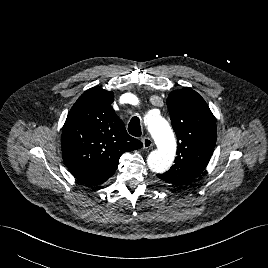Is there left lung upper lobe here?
Returning <instances> with one entry per match:
<instances>
[{"instance_id": "left-lung-upper-lobe-1", "label": "left lung upper lobe", "mask_w": 268, "mask_h": 268, "mask_svg": "<svg viewBox=\"0 0 268 268\" xmlns=\"http://www.w3.org/2000/svg\"><path fill=\"white\" fill-rule=\"evenodd\" d=\"M166 103L177 136V157L168 171L157 176L183 185L207 166L216 143V122L204 99L189 87L172 91Z\"/></svg>"}]
</instances>
